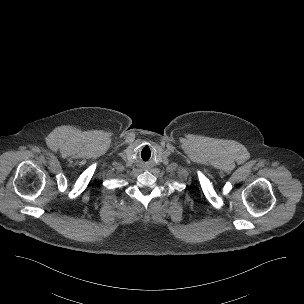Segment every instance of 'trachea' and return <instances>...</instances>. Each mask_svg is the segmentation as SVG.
<instances>
[{"label":"trachea","mask_w":304,"mask_h":304,"mask_svg":"<svg viewBox=\"0 0 304 304\" xmlns=\"http://www.w3.org/2000/svg\"><path fill=\"white\" fill-rule=\"evenodd\" d=\"M153 157V150L150 147H143L139 153L141 162H148Z\"/></svg>","instance_id":"obj_1"}]
</instances>
